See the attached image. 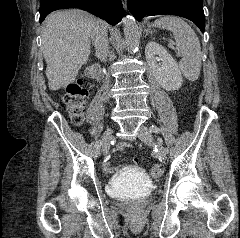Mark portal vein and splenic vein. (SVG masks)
Listing matches in <instances>:
<instances>
[{"label":"portal vein and splenic vein","instance_id":"1","mask_svg":"<svg viewBox=\"0 0 240 238\" xmlns=\"http://www.w3.org/2000/svg\"><path fill=\"white\" fill-rule=\"evenodd\" d=\"M173 46V43L172 42H170V47H172Z\"/></svg>","mask_w":240,"mask_h":238}]
</instances>
